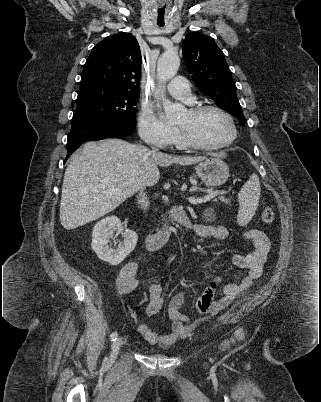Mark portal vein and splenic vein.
<instances>
[{"instance_id": "18ae733b", "label": "portal vein and splenic vein", "mask_w": 321, "mask_h": 402, "mask_svg": "<svg viewBox=\"0 0 321 402\" xmlns=\"http://www.w3.org/2000/svg\"><path fill=\"white\" fill-rule=\"evenodd\" d=\"M220 194H222L221 191H213L208 193L207 195L203 196V197H198V198H194V197H189L188 201L190 203L196 204V203H203L206 202L207 200H210L216 196H219Z\"/></svg>"}]
</instances>
